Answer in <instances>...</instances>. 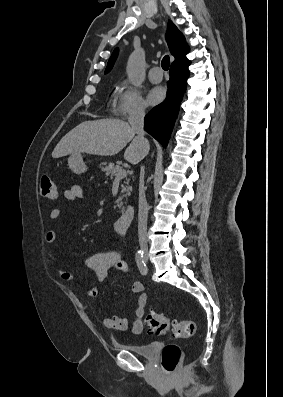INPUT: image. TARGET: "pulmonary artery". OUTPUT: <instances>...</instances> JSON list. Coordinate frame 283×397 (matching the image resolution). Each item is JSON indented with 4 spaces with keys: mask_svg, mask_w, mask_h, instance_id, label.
Returning a JSON list of instances; mask_svg holds the SVG:
<instances>
[{
    "mask_svg": "<svg viewBox=\"0 0 283 397\" xmlns=\"http://www.w3.org/2000/svg\"><path fill=\"white\" fill-rule=\"evenodd\" d=\"M148 76H149V80H150L152 83H159V82H161V81H162V77H163L161 68L158 67V66L152 67V68L150 69V71H149Z\"/></svg>",
    "mask_w": 283,
    "mask_h": 397,
    "instance_id": "pulmonary-artery-1",
    "label": "pulmonary artery"
}]
</instances>
